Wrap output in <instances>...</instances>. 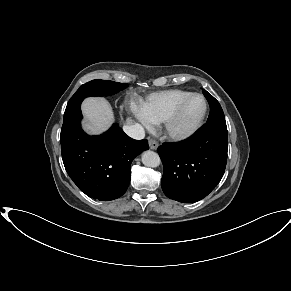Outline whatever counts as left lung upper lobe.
<instances>
[{
	"mask_svg": "<svg viewBox=\"0 0 291 291\" xmlns=\"http://www.w3.org/2000/svg\"><path fill=\"white\" fill-rule=\"evenodd\" d=\"M210 106V115L207 123L225 122V116L219 102L207 91H202Z\"/></svg>",
	"mask_w": 291,
	"mask_h": 291,
	"instance_id": "5c2ea615",
	"label": "left lung upper lobe"
}]
</instances>
